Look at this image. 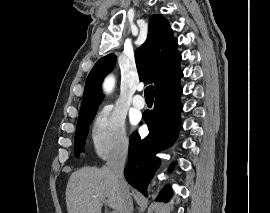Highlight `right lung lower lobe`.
Returning a JSON list of instances; mask_svg holds the SVG:
<instances>
[{"mask_svg":"<svg viewBox=\"0 0 270 213\" xmlns=\"http://www.w3.org/2000/svg\"><path fill=\"white\" fill-rule=\"evenodd\" d=\"M182 76L180 71L155 90V106L153 110L143 114L149 135L141 139L134 133L130 138L129 160L125 167L126 180L145 196L148 183L160 163L155 154L173 143L180 126L182 88L179 81ZM171 193L170 188L166 187L156 200L166 201Z\"/></svg>","mask_w":270,"mask_h":213,"instance_id":"right-lung-lower-lobe-1","label":"right lung lower lobe"}]
</instances>
